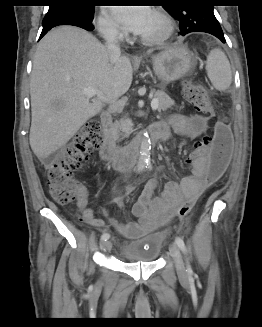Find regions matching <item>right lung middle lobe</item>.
<instances>
[{
	"label": "right lung middle lobe",
	"instance_id": "dd1d6c3e",
	"mask_svg": "<svg viewBox=\"0 0 262 327\" xmlns=\"http://www.w3.org/2000/svg\"><path fill=\"white\" fill-rule=\"evenodd\" d=\"M63 1H67L68 3L57 5V6H50L48 13L46 15L54 14V13H74L86 18H93L95 6L93 5L80 6L70 2L74 0H63Z\"/></svg>",
	"mask_w": 262,
	"mask_h": 327
}]
</instances>
